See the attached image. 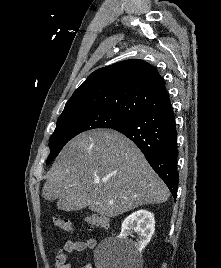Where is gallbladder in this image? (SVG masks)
<instances>
[{
    "instance_id": "bac80fb5",
    "label": "gallbladder",
    "mask_w": 221,
    "mask_h": 268,
    "mask_svg": "<svg viewBox=\"0 0 221 268\" xmlns=\"http://www.w3.org/2000/svg\"><path fill=\"white\" fill-rule=\"evenodd\" d=\"M84 204H86V199H60V202H57V207L59 210L71 212L87 207Z\"/></svg>"
}]
</instances>
